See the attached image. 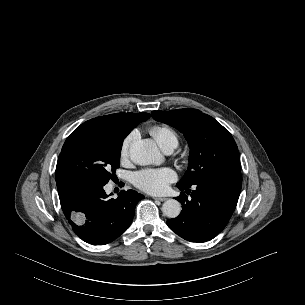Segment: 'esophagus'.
Wrapping results in <instances>:
<instances>
[{
  "instance_id": "esophagus-1",
  "label": "esophagus",
  "mask_w": 305,
  "mask_h": 305,
  "mask_svg": "<svg viewBox=\"0 0 305 305\" xmlns=\"http://www.w3.org/2000/svg\"><path fill=\"white\" fill-rule=\"evenodd\" d=\"M153 199H154V200L161 201V202H163V201H166V200H167V198H166V197H153Z\"/></svg>"
}]
</instances>
